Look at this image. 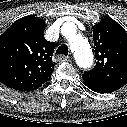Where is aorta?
<instances>
[{
	"instance_id": "762f6f07",
	"label": "aorta",
	"mask_w": 127,
	"mask_h": 127,
	"mask_svg": "<svg viewBox=\"0 0 127 127\" xmlns=\"http://www.w3.org/2000/svg\"><path fill=\"white\" fill-rule=\"evenodd\" d=\"M66 26L71 30L70 46L75 54L77 64L84 69L89 68L93 63V54L87 40L82 36L75 34V25L67 23Z\"/></svg>"
}]
</instances>
